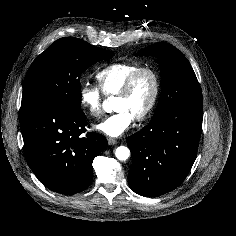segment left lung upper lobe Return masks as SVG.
I'll use <instances>...</instances> for the list:
<instances>
[{
  "label": "left lung upper lobe",
  "mask_w": 236,
  "mask_h": 236,
  "mask_svg": "<svg viewBox=\"0 0 236 236\" xmlns=\"http://www.w3.org/2000/svg\"><path fill=\"white\" fill-rule=\"evenodd\" d=\"M154 56L161 69V95L152 120L179 106L202 105L197 77L183 53L169 43H156L136 56Z\"/></svg>",
  "instance_id": "left-lung-upper-lobe-1"
}]
</instances>
